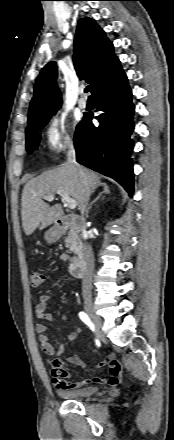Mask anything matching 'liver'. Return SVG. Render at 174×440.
Wrapping results in <instances>:
<instances>
[{
    "label": "liver",
    "instance_id": "liver-1",
    "mask_svg": "<svg viewBox=\"0 0 174 440\" xmlns=\"http://www.w3.org/2000/svg\"><path fill=\"white\" fill-rule=\"evenodd\" d=\"M81 169L84 175H81L77 165L67 162L25 184L21 216L23 230L27 236L39 226L40 229H44L55 223L63 215L60 204L50 206L43 201V196L62 190L76 201L80 211L84 209L89 195L102 183L95 172L86 168Z\"/></svg>",
    "mask_w": 174,
    "mask_h": 440
}]
</instances>
